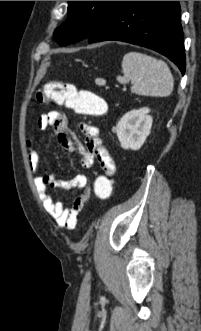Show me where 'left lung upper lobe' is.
Returning <instances> with one entry per match:
<instances>
[{
	"label": "left lung upper lobe",
	"mask_w": 201,
	"mask_h": 331,
	"mask_svg": "<svg viewBox=\"0 0 201 331\" xmlns=\"http://www.w3.org/2000/svg\"><path fill=\"white\" fill-rule=\"evenodd\" d=\"M120 1H68L66 22L54 32L61 45L88 38Z\"/></svg>",
	"instance_id": "1"
}]
</instances>
